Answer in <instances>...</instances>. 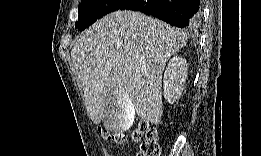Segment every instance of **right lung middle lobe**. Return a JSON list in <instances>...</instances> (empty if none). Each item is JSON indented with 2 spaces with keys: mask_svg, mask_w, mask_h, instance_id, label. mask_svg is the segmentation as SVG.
Wrapping results in <instances>:
<instances>
[{
  "mask_svg": "<svg viewBox=\"0 0 261 156\" xmlns=\"http://www.w3.org/2000/svg\"><path fill=\"white\" fill-rule=\"evenodd\" d=\"M127 0H81L75 27L82 31L103 15L117 10Z\"/></svg>",
  "mask_w": 261,
  "mask_h": 156,
  "instance_id": "1",
  "label": "right lung middle lobe"
}]
</instances>
